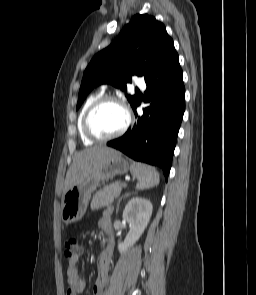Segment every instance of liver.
<instances>
[{
    "label": "liver",
    "mask_w": 256,
    "mask_h": 295,
    "mask_svg": "<svg viewBox=\"0 0 256 295\" xmlns=\"http://www.w3.org/2000/svg\"><path fill=\"white\" fill-rule=\"evenodd\" d=\"M116 153H118L116 150L106 146L87 148L77 153L66 174L64 193L79 182L92 168Z\"/></svg>",
    "instance_id": "liver-1"
}]
</instances>
